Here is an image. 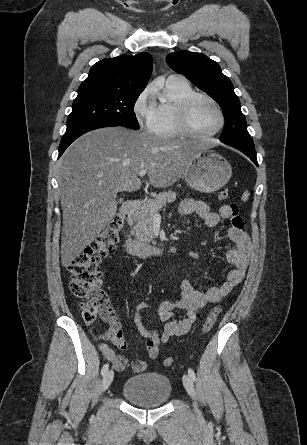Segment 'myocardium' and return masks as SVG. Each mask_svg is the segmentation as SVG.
<instances>
[{
    "mask_svg": "<svg viewBox=\"0 0 307 445\" xmlns=\"http://www.w3.org/2000/svg\"><path fill=\"white\" fill-rule=\"evenodd\" d=\"M199 100L207 101L213 104L219 110L221 114V124L216 130L203 133L198 131L197 128L193 125L190 117V110L192 106ZM172 113L183 134L190 136L186 139H204L213 137L220 133L227 125V114L224 107L217 100L203 93H192L191 95L177 103L172 108Z\"/></svg>",
    "mask_w": 307,
    "mask_h": 445,
    "instance_id": "myocardium-1",
    "label": "myocardium"
}]
</instances>
